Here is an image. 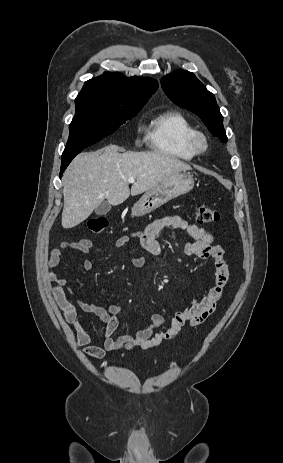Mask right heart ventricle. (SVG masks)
I'll list each match as a JSON object with an SVG mask.
<instances>
[{
  "instance_id": "e07e8e85",
  "label": "right heart ventricle",
  "mask_w": 283,
  "mask_h": 463,
  "mask_svg": "<svg viewBox=\"0 0 283 463\" xmlns=\"http://www.w3.org/2000/svg\"><path fill=\"white\" fill-rule=\"evenodd\" d=\"M195 128L179 111L168 110L156 115L148 124L146 139L155 152L172 158L191 160L195 157L191 137Z\"/></svg>"
}]
</instances>
